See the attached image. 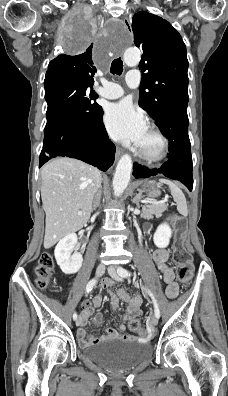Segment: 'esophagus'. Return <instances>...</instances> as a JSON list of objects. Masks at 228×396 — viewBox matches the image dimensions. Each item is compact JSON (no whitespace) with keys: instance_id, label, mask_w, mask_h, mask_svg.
Masks as SVG:
<instances>
[{"instance_id":"1","label":"esophagus","mask_w":228,"mask_h":396,"mask_svg":"<svg viewBox=\"0 0 228 396\" xmlns=\"http://www.w3.org/2000/svg\"><path fill=\"white\" fill-rule=\"evenodd\" d=\"M124 22L130 25V22H131V21H130L129 18L126 17V18L124 19ZM121 153H122V151H121L119 148H117L116 154H115L116 159H118V158L121 156Z\"/></svg>"}]
</instances>
